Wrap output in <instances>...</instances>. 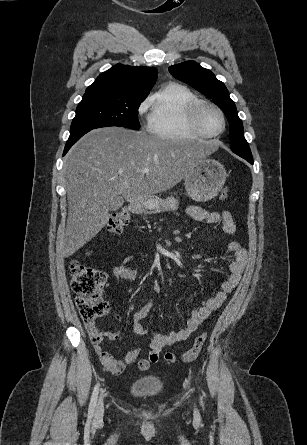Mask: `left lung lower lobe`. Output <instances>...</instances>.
Wrapping results in <instances>:
<instances>
[{"label":"left lung lower lobe","mask_w":307,"mask_h":445,"mask_svg":"<svg viewBox=\"0 0 307 445\" xmlns=\"http://www.w3.org/2000/svg\"><path fill=\"white\" fill-rule=\"evenodd\" d=\"M239 156H241L242 158L246 159L250 164H253V157L252 156H248V155H244V154H239Z\"/></svg>","instance_id":"0a47b994"}]
</instances>
